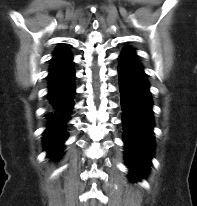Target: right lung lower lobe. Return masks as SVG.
<instances>
[{
  "mask_svg": "<svg viewBox=\"0 0 197 206\" xmlns=\"http://www.w3.org/2000/svg\"><path fill=\"white\" fill-rule=\"evenodd\" d=\"M75 71L73 62L61 72L48 79L50 110L47 114L48 125L43 133L44 148L49 157H58L63 150L62 144L68 137L66 123L70 120L75 94Z\"/></svg>",
  "mask_w": 197,
  "mask_h": 206,
  "instance_id": "1",
  "label": "right lung lower lobe"
}]
</instances>
